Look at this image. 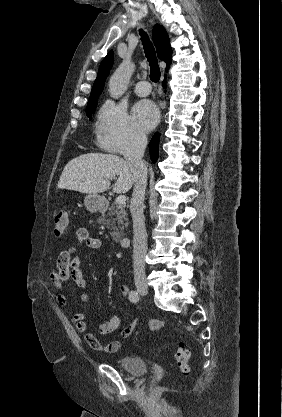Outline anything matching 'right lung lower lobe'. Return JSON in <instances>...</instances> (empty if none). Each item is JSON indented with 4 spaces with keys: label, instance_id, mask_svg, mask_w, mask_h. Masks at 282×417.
<instances>
[{
    "label": "right lung lower lobe",
    "instance_id": "98d812e1",
    "mask_svg": "<svg viewBox=\"0 0 282 417\" xmlns=\"http://www.w3.org/2000/svg\"><path fill=\"white\" fill-rule=\"evenodd\" d=\"M166 79V76H165ZM163 85H165V81L163 82ZM159 141H160V133H155L152 137L150 143H149V152L150 157L153 163H155L159 156Z\"/></svg>",
    "mask_w": 282,
    "mask_h": 417
}]
</instances>
